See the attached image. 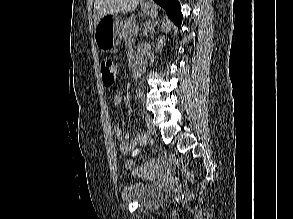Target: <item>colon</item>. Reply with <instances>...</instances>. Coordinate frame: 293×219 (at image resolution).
Wrapping results in <instances>:
<instances>
[{"label": "colon", "mask_w": 293, "mask_h": 219, "mask_svg": "<svg viewBox=\"0 0 293 219\" xmlns=\"http://www.w3.org/2000/svg\"><path fill=\"white\" fill-rule=\"evenodd\" d=\"M101 69H102V79L103 83L106 86H112L116 80V77L119 72V66L117 61L112 58V57H106L103 59L102 64H101ZM152 142V139L150 136L147 134L144 136L142 143L140 146H147ZM139 154L138 149H133V155L137 156ZM135 161L134 160H129L126 163V167L128 169H134L135 168Z\"/></svg>", "instance_id": "1"}]
</instances>
